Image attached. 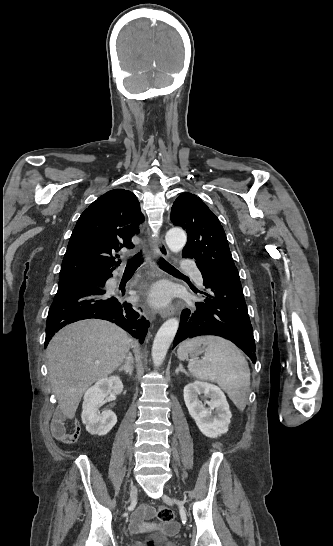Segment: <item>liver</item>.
Instances as JSON below:
<instances>
[{
  "label": "liver",
  "instance_id": "liver-1",
  "mask_svg": "<svg viewBox=\"0 0 333 546\" xmlns=\"http://www.w3.org/2000/svg\"><path fill=\"white\" fill-rule=\"evenodd\" d=\"M129 349L127 333L107 321L83 320L61 329L48 345L47 367L62 414L74 418L87 388L114 372Z\"/></svg>",
  "mask_w": 333,
  "mask_h": 546
}]
</instances>
